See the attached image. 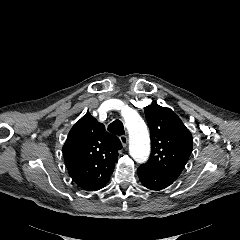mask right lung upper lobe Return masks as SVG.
<instances>
[{
	"instance_id": "1",
	"label": "right lung upper lobe",
	"mask_w": 240,
	"mask_h": 240,
	"mask_svg": "<svg viewBox=\"0 0 240 240\" xmlns=\"http://www.w3.org/2000/svg\"><path fill=\"white\" fill-rule=\"evenodd\" d=\"M121 148L119 138L87 113L70 130L62 151L73 181L84 190L96 191L109 181Z\"/></svg>"
}]
</instances>
